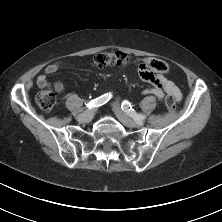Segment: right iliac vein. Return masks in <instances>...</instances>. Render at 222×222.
Returning <instances> with one entry per match:
<instances>
[{"instance_id":"obj_1","label":"right iliac vein","mask_w":222,"mask_h":222,"mask_svg":"<svg viewBox=\"0 0 222 222\" xmlns=\"http://www.w3.org/2000/svg\"><path fill=\"white\" fill-rule=\"evenodd\" d=\"M95 114V110L94 109H87L86 111H84L83 113H81L77 119L80 122H84V123H89Z\"/></svg>"}]
</instances>
